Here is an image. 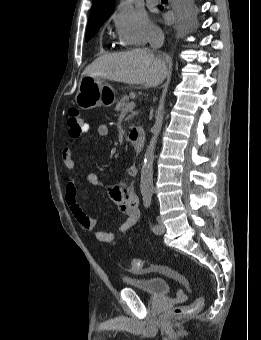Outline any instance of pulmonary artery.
I'll use <instances>...</instances> for the list:
<instances>
[{
	"mask_svg": "<svg viewBox=\"0 0 261 340\" xmlns=\"http://www.w3.org/2000/svg\"><path fill=\"white\" fill-rule=\"evenodd\" d=\"M148 2H150V3H156V2H158L159 0H147Z\"/></svg>",
	"mask_w": 261,
	"mask_h": 340,
	"instance_id": "pulmonary-artery-1",
	"label": "pulmonary artery"
}]
</instances>
